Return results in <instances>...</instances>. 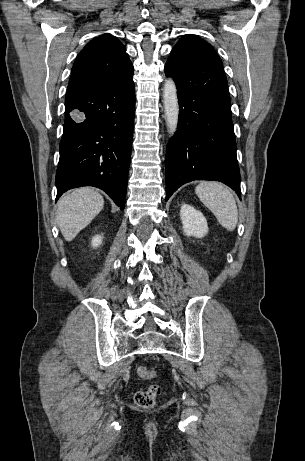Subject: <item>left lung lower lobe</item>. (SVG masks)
Here are the masks:
<instances>
[{
    "label": "left lung lower lobe",
    "instance_id": "1",
    "mask_svg": "<svg viewBox=\"0 0 305 461\" xmlns=\"http://www.w3.org/2000/svg\"><path fill=\"white\" fill-rule=\"evenodd\" d=\"M165 74L174 79L179 121L166 151V201L193 180L221 181L240 197V172L231 102L222 62L170 57Z\"/></svg>",
    "mask_w": 305,
    "mask_h": 461
}]
</instances>
